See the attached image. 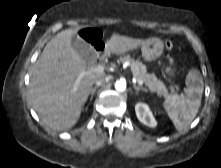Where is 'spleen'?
I'll return each instance as SVG.
<instances>
[{
  "label": "spleen",
  "instance_id": "3e777b00",
  "mask_svg": "<svg viewBox=\"0 0 221 168\" xmlns=\"http://www.w3.org/2000/svg\"><path fill=\"white\" fill-rule=\"evenodd\" d=\"M185 95L169 96L163 108L179 131L185 129L195 118L201 105L204 83L198 69H191L186 77Z\"/></svg>",
  "mask_w": 221,
  "mask_h": 168
}]
</instances>
